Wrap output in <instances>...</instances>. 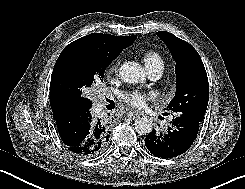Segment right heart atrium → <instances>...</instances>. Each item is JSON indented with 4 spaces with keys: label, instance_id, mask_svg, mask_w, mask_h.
I'll list each match as a JSON object with an SVG mask.
<instances>
[{
    "label": "right heart atrium",
    "instance_id": "obj_1",
    "mask_svg": "<svg viewBox=\"0 0 245 189\" xmlns=\"http://www.w3.org/2000/svg\"><path fill=\"white\" fill-rule=\"evenodd\" d=\"M119 69V61L118 60H114L113 62L110 63V65L107 68V72L109 74H117Z\"/></svg>",
    "mask_w": 245,
    "mask_h": 189
}]
</instances>
